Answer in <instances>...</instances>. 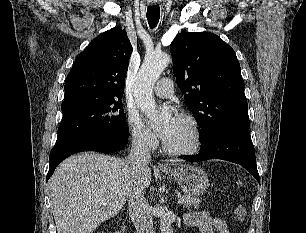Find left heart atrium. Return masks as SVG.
I'll return each mask as SVG.
<instances>
[{
    "mask_svg": "<svg viewBox=\"0 0 306 233\" xmlns=\"http://www.w3.org/2000/svg\"><path fill=\"white\" fill-rule=\"evenodd\" d=\"M179 117L176 115H173L167 123L162 127V129L159 132L160 137L165 141L168 136L170 135L171 131L175 127L176 123L178 122Z\"/></svg>",
    "mask_w": 306,
    "mask_h": 233,
    "instance_id": "obj_1",
    "label": "left heart atrium"
}]
</instances>
